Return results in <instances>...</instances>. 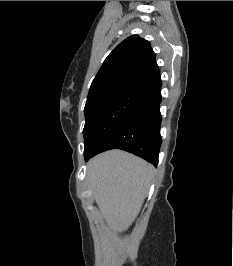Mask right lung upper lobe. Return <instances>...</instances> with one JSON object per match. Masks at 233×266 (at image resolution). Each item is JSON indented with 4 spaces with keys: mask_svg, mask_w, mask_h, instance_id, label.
I'll return each instance as SVG.
<instances>
[{
    "mask_svg": "<svg viewBox=\"0 0 233 266\" xmlns=\"http://www.w3.org/2000/svg\"><path fill=\"white\" fill-rule=\"evenodd\" d=\"M161 83L150 43L132 35L105 59L95 76L87 100L118 91L149 92Z\"/></svg>",
    "mask_w": 233,
    "mask_h": 266,
    "instance_id": "1",
    "label": "right lung upper lobe"
}]
</instances>
